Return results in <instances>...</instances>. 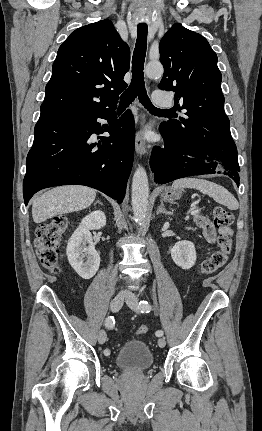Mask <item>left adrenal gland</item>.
Segmentation results:
<instances>
[{
	"label": "left adrenal gland",
	"mask_w": 262,
	"mask_h": 431,
	"mask_svg": "<svg viewBox=\"0 0 262 431\" xmlns=\"http://www.w3.org/2000/svg\"><path fill=\"white\" fill-rule=\"evenodd\" d=\"M160 213L168 214V215H172V212L167 211V210L165 209L164 204H163V201H161V202H160V205H159V207H158V209H157V214H160Z\"/></svg>",
	"instance_id": "1"
}]
</instances>
